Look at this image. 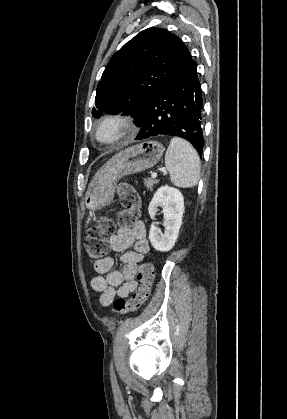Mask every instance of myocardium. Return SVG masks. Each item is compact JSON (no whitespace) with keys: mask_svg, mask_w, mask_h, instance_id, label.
<instances>
[{"mask_svg":"<svg viewBox=\"0 0 287 419\" xmlns=\"http://www.w3.org/2000/svg\"><path fill=\"white\" fill-rule=\"evenodd\" d=\"M105 126H113L120 130V134L109 141H102L98 132ZM137 133V127L134 121L124 115H107L101 118L93 128V138L101 146L111 147L119 145L127 140L133 138Z\"/></svg>","mask_w":287,"mask_h":419,"instance_id":"f54148a6","label":"myocardium"}]
</instances>
